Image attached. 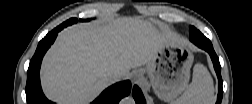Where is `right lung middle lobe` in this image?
<instances>
[{
	"label": "right lung middle lobe",
	"instance_id": "right-lung-middle-lobe-1",
	"mask_svg": "<svg viewBox=\"0 0 252 104\" xmlns=\"http://www.w3.org/2000/svg\"><path fill=\"white\" fill-rule=\"evenodd\" d=\"M80 21H88V20H83V19H80ZM77 22V19L76 18H71L69 20H67L66 22H64L63 24H61L60 26H63V27H66V26H69L71 24H74Z\"/></svg>",
	"mask_w": 252,
	"mask_h": 104
}]
</instances>
